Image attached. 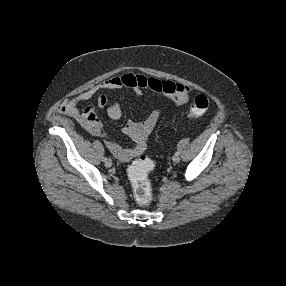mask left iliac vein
Returning a JSON list of instances; mask_svg holds the SVG:
<instances>
[{
    "label": "left iliac vein",
    "instance_id": "left-iliac-vein-1",
    "mask_svg": "<svg viewBox=\"0 0 286 286\" xmlns=\"http://www.w3.org/2000/svg\"><path fill=\"white\" fill-rule=\"evenodd\" d=\"M172 160H173V162L178 163V162L180 161L179 155H174V156L172 157Z\"/></svg>",
    "mask_w": 286,
    "mask_h": 286
}]
</instances>
